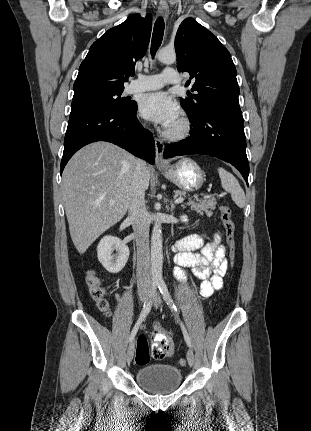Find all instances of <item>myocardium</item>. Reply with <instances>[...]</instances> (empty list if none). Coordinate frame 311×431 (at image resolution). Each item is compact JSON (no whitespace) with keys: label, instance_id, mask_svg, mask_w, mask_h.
<instances>
[{"label":"myocardium","instance_id":"obj_1","mask_svg":"<svg viewBox=\"0 0 311 431\" xmlns=\"http://www.w3.org/2000/svg\"><path fill=\"white\" fill-rule=\"evenodd\" d=\"M192 132L193 122L191 118L185 114L178 120L176 129H169L165 132V137L171 141H177L188 137Z\"/></svg>","mask_w":311,"mask_h":431}]
</instances>
